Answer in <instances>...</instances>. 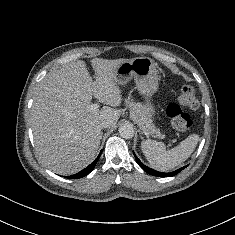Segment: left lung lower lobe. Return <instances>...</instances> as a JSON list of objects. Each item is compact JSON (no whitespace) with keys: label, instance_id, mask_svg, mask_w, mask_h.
Wrapping results in <instances>:
<instances>
[{"label":"left lung lower lobe","instance_id":"0a47b994","mask_svg":"<svg viewBox=\"0 0 235 235\" xmlns=\"http://www.w3.org/2000/svg\"><path fill=\"white\" fill-rule=\"evenodd\" d=\"M136 160H137V163L139 164V166L145 171L147 172L148 174L150 175H153V176H159V177H171V176H174L176 174H178L180 171H182L184 168H186L187 166H184L176 171H173V172H170V173H163V172H158L156 170H153L147 166H145L139 159L138 157L134 154Z\"/></svg>","mask_w":235,"mask_h":235}]
</instances>
